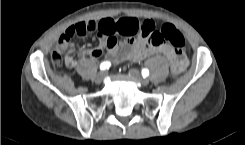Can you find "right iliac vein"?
<instances>
[{
    "instance_id": "63e3f726",
    "label": "right iliac vein",
    "mask_w": 245,
    "mask_h": 145,
    "mask_svg": "<svg viewBox=\"0 0 245 145\" xmlns=\"http://www.w3.org/2000/svg\"><path fill=\"white\" fill-rule=\"evenodd\" d=\"M105 76H106V72H105V71L99 72V73L97 74L96 78H95V82H96L97 84H101V83L103 82Z\"/></svg>"
}]
</instances>
